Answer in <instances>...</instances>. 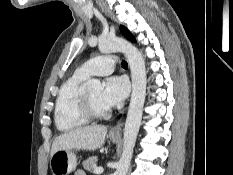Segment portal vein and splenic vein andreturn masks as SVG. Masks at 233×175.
Instances as JSON below:
<instances>
[{"mask_svg":"<svg viewBox=\"0 0 233 175\" xmlns=\"http://www.w3.org/2000/svg\"><path fill=\"white\" fill-rule=\"evenodd\" d=\"M103 171H104V169L102 167H96L94 169L95 174H101V173H103Z\"/></svg>","mask_w":233,"mask_h":175,"instance_id":"obj_1","label":"portal vein and splenic vein"}]
</instances>
